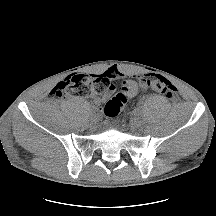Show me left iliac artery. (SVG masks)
<instances>
[{
	"instance_id": "1",
	"label": "left iliac artery",
	"mask_w": 216,
	"mask_h": 216,
	"mask_svg": "<svg viewBox=\"0 0 216 216\" xmlns=\"http://www.w3.org/2000/svg\"><path fill=\"white\" fill-rule=\"evenodd\" d=\"M135 113H136L137 115H139L140 109H139V108H136V109H135Z\"/></svg>"
}]
</instances>
